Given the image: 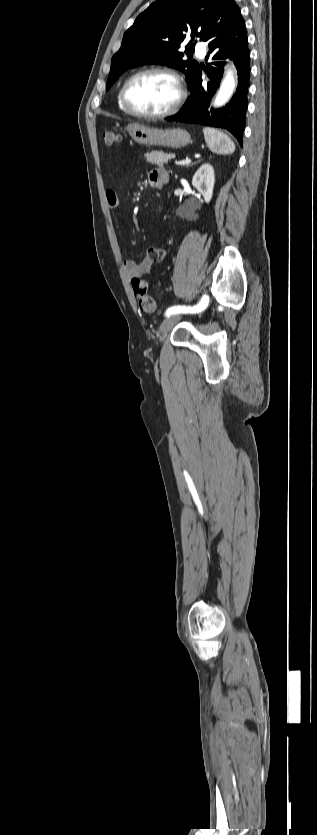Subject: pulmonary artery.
<instances>
[{
    "label": "pulmonary artery",
    "mask_w": 317,
    "mask_h": 835,
    "mask_svg": "<svg viewBox=\"0 0 317 835\" xmlns=\"http://www.w3.org/2000/svg\"><path fill=\"white\" fill-rule=\"evenodd\" d=\"M207 48L206 45L202 42H199L195 46V53L198 57L203 58L206 54Z\"/></svg>",
    "instance_id": "obj_1"
}]
</instances>
